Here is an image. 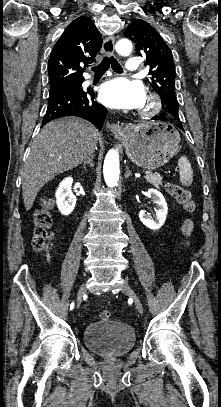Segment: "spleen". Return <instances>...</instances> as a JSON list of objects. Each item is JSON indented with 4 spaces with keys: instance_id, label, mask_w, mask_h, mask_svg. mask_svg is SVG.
Here are the masks:
<instances>
[{
    "instance_id": "obj_1",
    "label": "spleen",
    "mask_w": 221,
    "mask_h": 407,
    "mask_svg": "<svg viewBox=\"0 0 221 407\" xmlns=\"http://www.w3.org/2000/svg\"><path fill=\"white\" fill-rule=\"evenodd\" d=\"M178 167L180 183L184 186H190L193 181V170L187 157L179 158Z\"/></svg>"
}]
</instances>
